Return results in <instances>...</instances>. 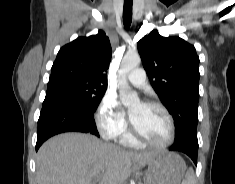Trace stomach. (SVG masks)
<instances>
[{
	"label": "stomach",
	"mask_w": 235,
	"mask_h": 184,
	"mask_svg": "<svg viewBox=\"0 0 235 184\" xmlns=\"http://www.w3.org/2000/svg\"><path fill=\"white\" fill-rule=\"evenodd\" d=\"M144 184H182L187 166L178 154H156L152 162L146 164Z\"/></svg>",
	"instance_id": "0dacf381"
}]
</instances>
